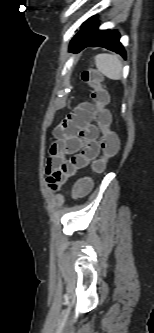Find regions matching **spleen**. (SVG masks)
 Wrapping results in <instances>:
<instances>
[{"instance_id": "1", "label": "spleen", "mask_w": 154, "mask_h": 333, "mask_svg": "<svg viewBox=\"0 0 154 333\" xmlns=\"http://www.w3.org/2000/svg\"><path fill=\"white\" fill-rule=\"evenodd\" d=\"M97 69L106 77L112 80H119L122 77V63L115 54H98L95 57Z\"/></svg>"}]
</instances>
